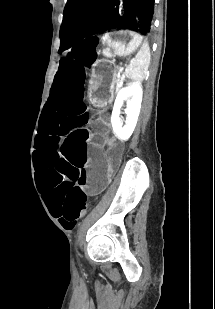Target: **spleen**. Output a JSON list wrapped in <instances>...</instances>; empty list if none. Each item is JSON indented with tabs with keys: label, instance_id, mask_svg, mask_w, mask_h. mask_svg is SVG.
Listing matches in <instances>:
<instances>
[{
	"label": "spleen",
	"instance_id": "1",
	"mask_svg": "<svg viewBox=\"0 0 215 309\" xmlns=\"http://www.w3.org/2000/svg\"><path fill=\"white\" fill-rule=\"evenodd\" d=\"M150 64V50L148 42H143L133 62L125 68V74L135 82H142Z\"/></svg>",
	"mask_w": 215,
	"mask_h": 309
}]
</instances>
